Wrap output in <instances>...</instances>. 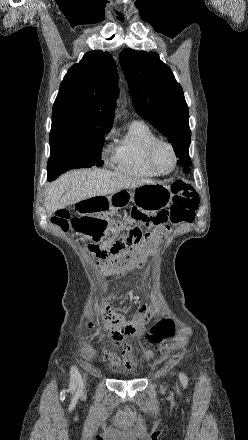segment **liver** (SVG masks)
<instances>
[{"label":"liver","mask_w":248,"mask_h":440,"mask_svg":"<svg viewBox=\"0 0 248 440\" xmlns=\"http://www.w3.org/2000/svg\"><path fill=\"white\" fill-rule=\"evenodd\" d=\"M151 183V180L106 169L74 170L60 176L49 186L45 197V209L51 216L57 210L89 198L111 195L123 189Z\"/></svg>","instance_id":"1"}]
</instances>
